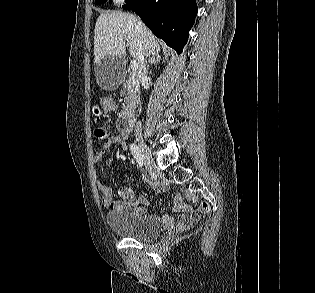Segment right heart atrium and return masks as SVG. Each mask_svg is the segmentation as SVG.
Wrapping results in <instances>:
<instances>
[{"instance_id":"right-heart-atrium-1","label":"right heart atrium","mask_w":315,"mask_h":293,"mask_svg":"<svg viewBox=\"0 0 315 293\" xmlns=\"http://www.w3.org/2000/svg\"><path fill=\"white\" fill-rule=\"evenodd\" d=\"M114 2L121 5V4H124L126 2V0H114Z\"/></svg>"}]
</instances>
